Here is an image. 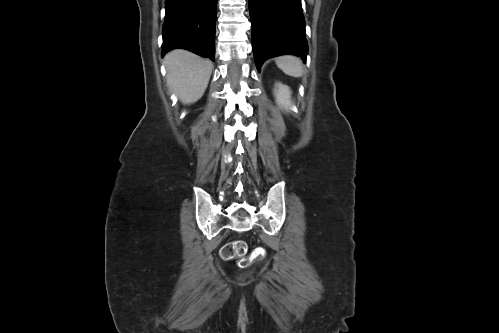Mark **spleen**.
I'll return each instance as SVG.
<instances>
[{
    "mask_svg": "<svg viewBox=\"0 0 499 333\" xmlns=\"http://www.w3.org/2000/svg\"><path fill=\"white\" fill-rule=\"evenodd\" d=\"M277 66L287 75L301 77L303 74L302 62L299 58L286 55L276 60Z\"/></svg>",
    "mask_w": 499,
    "mask_h": 333,
    "instance_id": "spleen-1",
    "label": "spleen"
}]
</instances>
